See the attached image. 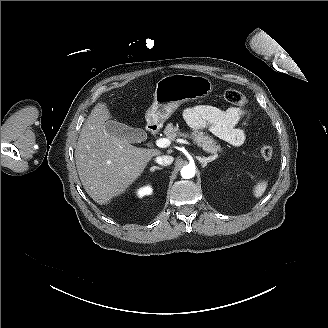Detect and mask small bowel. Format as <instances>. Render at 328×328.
<instances>
[{
    "instance_id": "small-bowel-1",
    "label": "small bowel",
    "mask_w": 328,
    "mask_h": 328,
    "mask_svg": "<svg viewBox=\"0 0 328 328\" xmlns=\"http://www.w3.org/2000/svg\"><path fill=\"white\" fill-rule=\"evenodd\" d=\"M183 115L193 130L208 129L230 145L240 146L246 139L250 113L242 108L230 107L222 110L212 105L201 104L186 108Z\"/></svg>"
}]
</instances>
